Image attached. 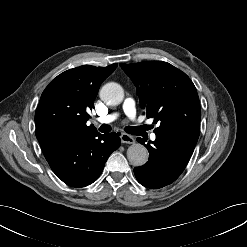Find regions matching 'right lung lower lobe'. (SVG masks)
<instances>
[{
  "mask_svg": "<svg viewBox=\"0 0 247 247\" xmlns=\"http://www.w3.org/2000/svg\"><path fill=\"white\" fill-rule=\"evenodd\" d=\"M120 144L119 133L62 135L44 156L64 183L79 188L98 179L108 157Z\"/></svg>",
  "mask_w": 247,
  "mask_h": 247,
  "instance_id": "right-lung-lower-lobe-1",
  "label": "right lung lower lobe"
}]
</instances>
